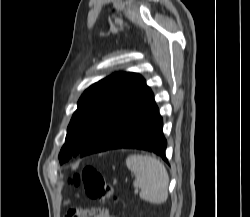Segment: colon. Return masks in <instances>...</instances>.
<instances>
[{"label":"colon","mask_w":250,"mask_h":217,"mask_svg":"<svg viewBox=\"0 0 250 217\" xmlns=\"http://www.w3.org/2000/svg\"><path fill=\"white\" fill-rule=\"evenodd\" d=\"M70 182L74 185L82 184L91 199L106 202L114 197L113 188L106 176L93 166H85L80 174L70 179ZM91 212L89 208H76L70 210L66 217H84Z\"/></svg>","instance_id":"colon-1"}]
</instances>
